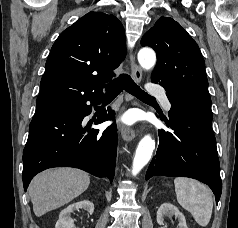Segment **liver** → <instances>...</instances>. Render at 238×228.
<instances>
[{"label": "liver", "mask_w": 238, "mask_h": 228, "mask_svg": "<svg viewBox=\"0 0 238 228\" xmlns=\"http://www.w3.org/2000/svg\"><path fill=\"white\" fill-rule=\"evenodd\" d=\"M89 184L90 176L78 169L43 171L33 178L28 188L34 214L41 217L48 211L71 202L86 191Z\"/></svg>", "instance_id": "6515ba94"}]
</instances>
